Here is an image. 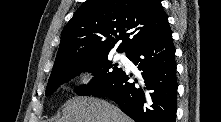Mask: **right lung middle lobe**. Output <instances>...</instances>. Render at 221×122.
I'll return each mask as SVG.
<instances>
[{
  "label": "right lung middle lobe",
  "mask_w": 221,
  "mask_h": 122,
  "mask_svg": "<svg viewBox=\"0 0 221 122\" xmlns=\"http://www.w3.org/2000/svg\"><path fill=\"white\" fill-rule=\"evenodd\" d=\"M117 66L118 64H112L107 59V55L69 66L49 78L46 96L52 94L61 84L69 81L82 71L92 72L95 77L88 85H82L74 91L81 96L92 95L106 88L123 72V69Z\"/></svg>",
  "instance_id": "dd1d6c3e"
}]
</instances>
